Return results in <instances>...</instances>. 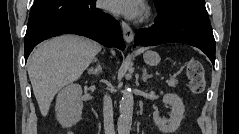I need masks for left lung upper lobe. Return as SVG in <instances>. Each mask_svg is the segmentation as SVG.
Listing matches in <instances>:
<instances>
[{
	"label": "left lung upper lobe",
	"instance_id": "1",
	"mask_svg": "<svg viewBox=\"0 0 239 134\" xmlns=\"http://www.w3.org/2000/svg\"><path fill=\"white\" fill-rule=\"evenodd\" d=\"M177 1L178 0H154L159 13L165 12L168 8H170Z\"/></svg>",
	"mask_w": 239,
	"mask_h": 134
}]
</instances>
